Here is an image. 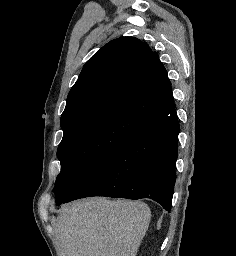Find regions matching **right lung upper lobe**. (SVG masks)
<instances>
[{
	"instance_id": "right-lung-upper-lobe-1",
	"label": "right lung upper lobe",
	"mask_w": 236,
	"mask_h": 256,
	"mask_svg": "<svg viewBox=\"0 0 236 256\" xmlns=\"http://www.w3.org/2000/svg\"><path fill=\"white\" fill-rule=\"evenodd\" d=\"M174 107L167 71L157 52L134 37L110 41L83 67L67 97L62 129L124 111L146 123Z\"/></svg>"
}]
</instances>
